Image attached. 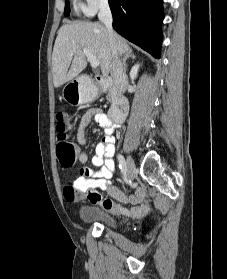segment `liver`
<instances>
[{
  "mask_svg": "<svg viewBox=\"0 0 227 279\" xmlns=\"http://www.w3.org/2000/svg\"><path fill=\"white\" fill-rule=\"evenodd\" d=\"M113 42L118 55L125 54L130 49L126 40L117 33L113 34ZM83 48L88 49L99 60L103 76H108L112 52L107 29L101 23L68 22L59 29L53 48L52 74L56 88L73 80L86 68Z\"/></svg>",
  "mask_w": 227,
  "mask_h": 279,
  "instance_id": "liver-1",
  "label": "liver"
}]
</instances>
